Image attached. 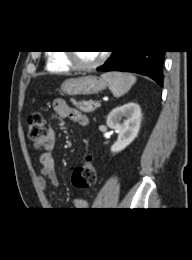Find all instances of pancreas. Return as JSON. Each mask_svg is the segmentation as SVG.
<instances>
[{
    "instance_id": "pancreas-1",
    "label": "pancreas",
    "mask_w": 192,
    "mask_h": 260,
    "mask_svg": "<svg viewBox=\"0 0 192 260\" xmlns=\"http://www.w3.org/2000/svg\"><path fill=\"white\" fill-rule=\"evenodd\" d=\"M72 104L84 113H91L96 110L93 101H76L71 99Z\"/></svg>"
}]
</instances>
